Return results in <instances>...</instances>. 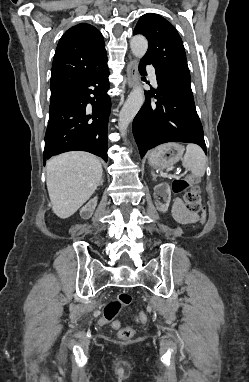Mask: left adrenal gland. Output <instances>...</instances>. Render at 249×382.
<instances>
[{"label":"left adrenal gland","mask_w":249,"mask_h":382,"mask_svg":"<svg viewBox=\"0 0 249 382\" xmlns=\"http://www.w3.org/2000/svg\"><path fill=\"white\" fill-rule=\"evenodd\" d=\"M151 174H152V176H153V180H155L156 177H157V174H155L153 171L151 172Z\"/></svg>","instance_id":"left-adrenal-gland-1"}]
</instances>
